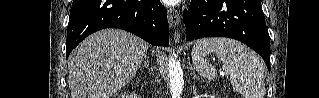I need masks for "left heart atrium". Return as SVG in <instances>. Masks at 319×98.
<instances>
[{
	"mask_svg": "<svg viewBox=\"0 0 319 98\" xmlns=\"http://www.w3.org/2000/svg\"><path fill=\"white\" fill-rule=\"evenodd\" d=\"M165 2H166V3H169V4H175V3H177L178 1H175V0H166Z\"/></svg>",
	"mask_w": 319,
	"mask_h": 98,
	"instance_id": "39dd6f15",
	"label": "left heart atrium"
}]
</instances>
